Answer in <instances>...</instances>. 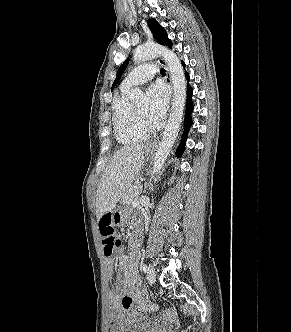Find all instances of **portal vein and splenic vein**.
<instances>
[{"label": "portal vein and splenic vein", "instance_id": "18ae733b", "mask_svg": "<svg viewBox=\"0 0 291 332\" xmlns=\"http://www.w3.org/2000/svg\"><path fill=\"white\" fill-rule=\"evenodd\" d=\"M137 205H139V201H138V200H135V201L132 203V206H133V207H136Z\"/></svg>", "mask_w": 291, "mask_h": 332}]
</instances>
